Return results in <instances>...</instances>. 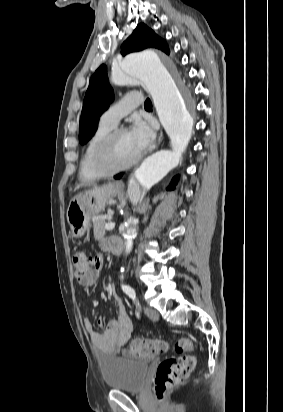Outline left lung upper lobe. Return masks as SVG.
<instances>
[{
  "label": "left lung upper lobe",
  "mask_w": 283,
  "mask_h": 412,
  "mask_svg": "<svg viewBox=\"0 0 283 412\" xmlns=\"http://www.w3.org/2000/svg\"><path fill=\"white\" fill-rule=\"evenodd\" d=\"M146 48H157L169 54L170 50L165 40L145 24H139L133 33L122 44L121 54L141 51ZM114 99L108 83L106 67L101 65L90 79L80 118L79 142L85 144L97 130L96 121L101 113L108 108V103Z\"/></svg>",
  "instance_id": "5c2ea615"
}]
</instances>
